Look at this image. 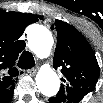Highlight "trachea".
Instances as JSON below:
<instances>
[{
    "label": "trachea",
    "instance_id": "3493384b",
    "mask_svg": "<svg viewBox=\"0 0 103 103\" xmlns=\"http://www.w3.org/2000/svg\"><path fill=\"white\" fill-rule=\"evenodd\" d=\"M35 65L33 55L29 51H24L19 59L18 66L22 69H30Z\"/></svg>",
    "mask_w": 103,
    "mask_h": 103
}]
</instances>
